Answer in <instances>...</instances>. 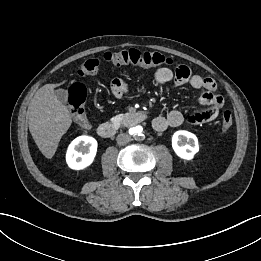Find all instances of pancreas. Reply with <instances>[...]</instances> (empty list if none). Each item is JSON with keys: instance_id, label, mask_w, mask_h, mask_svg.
<instances>
[{"instance_id": "obj_1", "label": "pancreas", "mask_w": 261, "mask_h": 261, "mask_svg": "<svg viewBox=\"0 0 261 261\" xmlns=\"http://www.w3.org/2000/svg\"><path fill=\"white\" fill-rule=\"evenodd\" d=\"M125 115L119 114L111 118V122L114 126L119 127L124 119Z\"/></svg>"}]
</instances>
